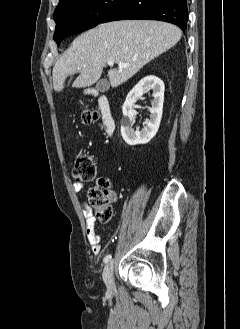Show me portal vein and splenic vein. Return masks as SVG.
Listing matches in <instances>:
<instances>
[{
    "mask_svg": "<svg viewBox=\"0 0 240 329\" xmlns=\"http://www.w3.org/2000/svg\"><path fill=\"white\" fill-rule=\"evenodd\" d=\"M107 64H108L109 66H113V65H114V62H113V61H108ZM118 66H119L120 69L128 67V65L125 64V63H119Z\"/></svg>",
    "mask_w": 240,
    "mask_h": 329,
    "instance_id": "18ae733b",
    "label": "portal vein and splenic vein"
}]
</instances>
